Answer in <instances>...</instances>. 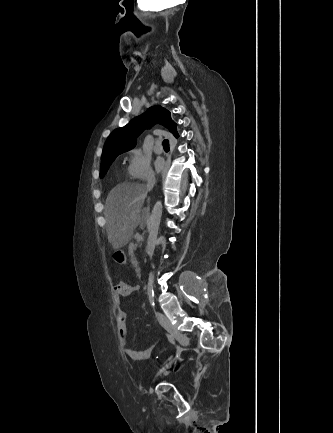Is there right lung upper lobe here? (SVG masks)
Masks as SVG:
<instances>
[{
    "label": "right lung upper lobe",
    "mask_w": 333,
    "mask_h": 433,
    "mask_svg": "<svg viewBox=\"0 0 333 433\" xmlns=\"http://www.w3.org/2000/svg\"><path fill=\"white\" fill-rule=\"evenodd\" d=\"M156 123L166 127L175 138H178L177 124L171 119L170 112L162 106H153L144 114L134 118L126 126L111 133L104 145L101 161L132 149L136 145V138L143 130Z\"/></svg>",
    "instance_id": "cb5924a9"
}]
</instances>
